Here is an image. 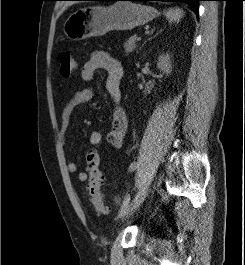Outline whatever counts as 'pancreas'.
<instances>
[{
	"instance_id": "cf45deb5",
	"label": "pancreas",
	"mask_w": 245,
	"mask_h": 265,
	"mask_svg": "<svg viewBox=\"0 0 245 265\" xmlns=\"http://www.w3.org/2000/svg\"><path fill=\"white\" fill-rule=\"evenodd\" d=\"M136 40L137 36L133 35L124 43L123 47L125 49L126 55H128L129 53L133 52L136 49L137 47Z\"/></svg>"
}]
</instances>
